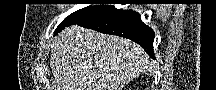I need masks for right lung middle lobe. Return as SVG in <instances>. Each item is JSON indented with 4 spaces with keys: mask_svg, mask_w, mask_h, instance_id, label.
Instances as JSON below:
<instances>
[{
    "mask_svg": "<svg viewBox=\"0 0 216 90\" xmlns=\"http://www.w3.org/2000/svg\"><path fill=\"white\" fill-rule=\"evenodd\" d=\"M113 7L114 6H87L83 9H80L66 17L63 22L58 25L56 32L77 21H82L97 16Z\"/></svg>",
    "mask_w": 216,
    "mask_h": 90,
    "instance_id": "1",
    "label": "right lung middle lobe"
}]
</instances>
